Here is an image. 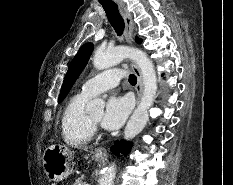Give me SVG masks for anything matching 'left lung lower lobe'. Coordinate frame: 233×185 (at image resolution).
I'll list each match as a JSON object with an SVG mask.
<instances>
[{
    "mask_svg": "<svg viewBox=\"0 0 233 185\" xmlns=\"http://www.w3.org/2000/svg\"><path fill=\"white\" fill-rule=\"evenodd\" d=\"M131 143L125 142V141H116L115 144L112 146L111 151L113 153H122L124 155H127L130 151Z\"/></svg>",
    "mask_w": 233,
    "mask_h": 185,
    "instance_id": "0a47b994",
    "label": "left lung lower lobe"
}]
</instances>
